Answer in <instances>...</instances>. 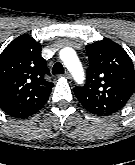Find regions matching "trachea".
Segmentation results:
<instances>
[{
    "label": "trachea",
    "mask_w": 135,
    "mask_h": 165,
    "mask_svg": "<svg viewBox=\"0 0 135 165\" xmlns=\"http://www.w3.org/2000/svg\"><path fill=\"white\" fill-rule=\"evenodd\" d=\"M52 73L54 75H56V74H63L64 73L63 65L60 62L55 63L53 68H52Z\"/></svg>",
    "instance_id": "obj_1"
}]
</instances>
